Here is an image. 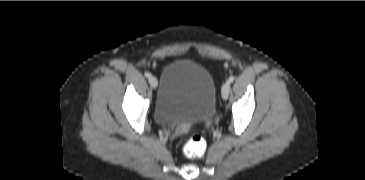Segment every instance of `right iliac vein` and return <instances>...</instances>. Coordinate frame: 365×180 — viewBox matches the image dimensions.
<instances>
[{"instance_id":"obj_1","label":"right iliac vein","mask_w":365,"mask_h":180,"mask_svg":"<svg viewBox=\"0 0 365 180\" xmlns=\"http://www.w3.org/2000/svg\"><path fill=\"white\" fill-rule=\"evenodd\" d=\"M148 81H149V84H150V86L152 87V88H157V86H158V81H157V79H156V77H154V76H150L149 77V79H148Z\"/></svg>"}]
</instances>
